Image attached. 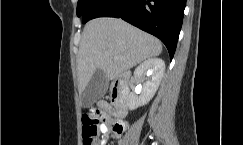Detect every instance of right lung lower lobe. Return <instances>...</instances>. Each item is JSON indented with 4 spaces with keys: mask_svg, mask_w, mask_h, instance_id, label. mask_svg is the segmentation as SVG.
I'll return each instance as SVG.
<instances>
[{
    "mask_svg": "<svg viewBox=\"0 0 243 145\" xmlns=\"http://www.w3.org/2000/svg\"><path fill=\"white\" fill-rule=\"evenodd\" d=\"M186 0H95L82 15L83 23L97 17L122 18L158 37L170 59L175 53Z\"/></svg>",
    "mask_w": 243,
    "mask_h": 145,
    "instance_id": "obj_1",
    "label": "right lung lower lobe"
}]
</instances>
